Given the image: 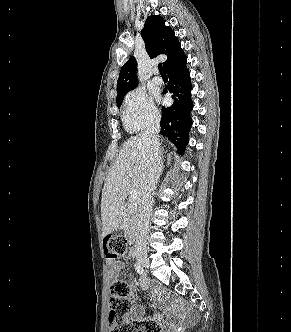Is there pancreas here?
Here are the masks:
<instances>
[{
    "label": "pancreas",
    "mask_w": 291,
    "mask_h": 332,
    "mask_svg": "<svg viewBox=\"0 0 291 332\" xmlns=\"http://www.w3.org/2000/svg\"><path fill=\"white\" fill-rule=\"evenodd\" d=\"M139 204L132 201L124 208L122 228L126 232H130L136 225Z\"/></svg>",
    "instance_id": "obj_1"
}]
</instances>
